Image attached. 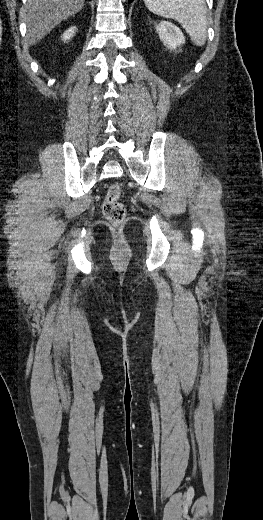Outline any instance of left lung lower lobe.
I'll return each instance as SVG.
<instances>
[{
    "instance_id": "left-lung-lower-lobe-1",
    "label": "left lung lower lobe",
    "mask_w": 263,
    "mask_h": 520,
    "mask_svg": "<svg viewBox=\"0 0 263 520\" xmlns=\"http://www.w3.org/2000/svg\"><path fill=\"white\" fill-rule=\"evenodd\" d=\"M132 1H133V0H128L129 3L132 2Z\"/></svg>"
}]
</instances>
